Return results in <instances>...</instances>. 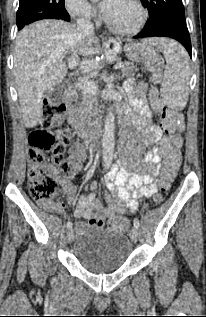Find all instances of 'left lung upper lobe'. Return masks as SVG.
<instances>
[{
	"label": "left lung upper lobe",
	"mask_w": 206,
	"mask_h": 317,
	"mask_svg": "<svg viewBox=\"0 0 206 317\" xmlns=\"http://www.w3.org/2000/svg\"><path fill=\"white\" fill-rule=\"evenodd\" d=\"M147 7L150 19L144 29L162 22H179L186 24L182 0H140Z\"/></svg>",
	"instance_id": "1"
}]
</instances>
